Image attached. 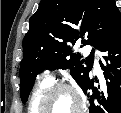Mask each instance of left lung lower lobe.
<instances>
[{"label":"left lung lower lobe","instance_id":"left-lung-lower-lobe-1","mask_svg":"<svg viewBox=\"0 0 121 113\" xmlns=\"http://www.w3.org/2000/svg\"><path fill=\"white\" fill-rule=\"evenodd\" d=\"M99 50L105 53L106 66L101 60L99 63L107 80V89L105 94L100 92L89 79L83 89L88 96L91 93L89 113H121V18Z\"/></svg>","mask_w":121,"mask_h":113}]
</instances>
